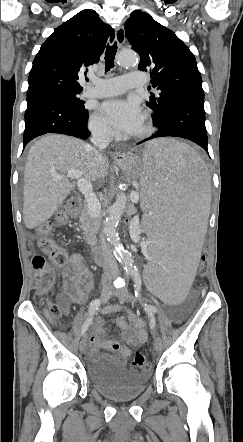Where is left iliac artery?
Returning <instances> with one entry per match:
<instances>
[{
  "label": "left iliac artery",
  "instance_id": "obj_1",
  "mask_svg": "<svg viewBox=\"0 0 243 442\" xmlns=\"http://www.w3.org/2000/svg\"><path fill=\"white\" fill-rule=\"evenodd\" d=\"M132 275H133L135 282H136V284H135V297L137 299H140V297H141V295H140L141 283H140V281L137 280L139 273H138V271H133ZM142 305L144 307V310L147 312V314L150 317H152L157 312V308L153 305L146 304V303H142Z\"/></svg>",
  "mask_w": 243,
  "mask_h": 442
}]
</instances>
